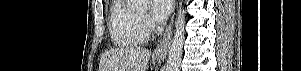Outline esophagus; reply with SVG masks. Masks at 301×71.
Returning <instances> with one entry per match:
<instances>
[{
    "label": "esophagus",
    "mask_w": 301,
    "mask_h": 71,
    "mask_svg": "<svg viewBox=\"0 0 301 71\" xmlns=\"http://www.w3.org/2000/svg\"><path fill=\"white\" fill-rule=\"evenodd\" d=\"M174 2H175V0H174ZM174 9H175V4H174ZM173 24H174V15H172L170 23H169L162 39L160 40V42L158 43L157 47L154 50V56L158 59H163L167 55L168 48H169L170 41H171V36H172Z\"/></svg>",
    "instance_id": "obj_1"
}]
</instances>
